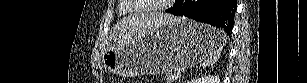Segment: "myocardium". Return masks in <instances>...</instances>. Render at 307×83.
Returning <instances> with one entry per match:
<instances>
[{
	"instance_id": "f54148a6",
	"label": "myocardium",
	"mask_w": 307,
	"mask_h": 83,
	"mask_svg": "<svg viewBox=\"0 0 307 83\" xmlns=\"http://www.w3.org/2000/svg\"><path fill=\"white\" fill-rule=\"evenodd\" d=\"M126 1H128L129 5L133 8V10H135L136 12H140V13L164 12L168 7L167 4L175 2V0H167L166 2L162 3L159 6L146 8V7H142L139 3H137V1H134V0H126Z\"/></svg>"
}]
</instances>
